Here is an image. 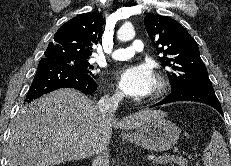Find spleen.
I'll list each match as a JSON object with an SVG mask.
<instances>
[{"mask_svg": "<svg viewBox=\"0 0 231 166\" xmlns=\"http://www.w3.org/2000/svg\"><path fill=\"white\" fill-rule=\"evenodd\" d=\"M202 160L205 166H231L227 145L220 132H213Z\"/></svg>", "mask_w": 231, "mask_h": 166, "instance_id": "spleen-1", "label": "spleen"}]
</instances>
